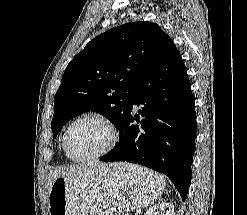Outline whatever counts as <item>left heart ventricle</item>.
Masks as SVG:
<instances>
[{
  "mask_svg": "<svg viewBox=\"0 0 247 215\" xmlns=\"http://www.w3.org/2000/svg\"><path fill=\"white\" fill-rule=\"evenodd\" d=\"M110 133L100 122L85 119L76 123L68 138L69 150L76 157L101 151L109 142Z\"/></svg>",
  "mask_w": 247,
  "mask_h": 215,
  "instance_id": "left-heart-ventricle-1",
  "label": "left heart ventricle"
}]
</instances>
